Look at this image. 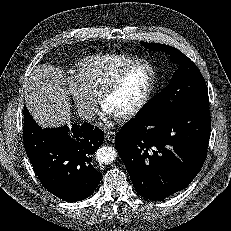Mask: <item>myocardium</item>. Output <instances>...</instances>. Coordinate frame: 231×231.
Wrapping results in <instances>:
<instances>
[{
	"label": "myocardium",
	"mask_w": 231,
	"mask_h": 231,
	"mask_svg": "<svg viewBox=\"0 0 231 231\" xmlns=\"http://www.w3.org/2000/svg\"><path fill=\"white\" fill-rule=\"evenodd\" d=\"M145 64L147 65L150 70H151V82L149 84L148 89L146 90L145 94L143 97L140 99V101L132 107L130 110L114 116L117 120L120 121H127L138 115L148 104L150 99L152 98L156 87H157V82H158V73L156 66L148 59H136L123 69H121L117 74H115L110 80H108L105 85L103 86L98 98L99 102L104 107L105 100L108 98L110 94H112L122 83L124 78L127 76V74L134 69L136 66Z\"/></svg>",
	"instance_id": "1"
}]
</instances>
